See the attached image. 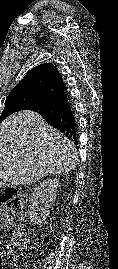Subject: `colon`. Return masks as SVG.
I'll list each match as a JSON object with an SVG mask.
<instances>
[{
    "label": "colon",
    "instance_id": "1",
    "mask_svg": "<svg viewBox=\"0 0 118 269\" xmlns=\"http://www.w3.org/2000/svg\"><path fill=\"white\" fill-rule=\"evenodd\" d=\"M0 202L6 206L10 219L23 225L27 216L22 192L13 186L0 184ZM25 243L24 229L18 226L12 239L2 244L0 269H14L18 249Z\"/></svg>",
    "mask_w": 118,
    "mask_h": 269
}]
</instances>
